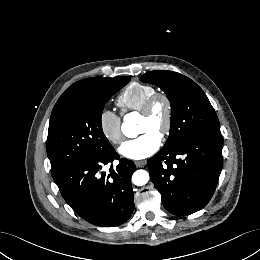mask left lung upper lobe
Instances as JSON below:
<instances>
[{"mask_svg":"<svg viewBox=\"0 0 260 260\" xmlns=\"http://www.w3.org/2000/svg\"><path fill=\"white\" fill-rule=\"evenodd\" d=\"M140 80L160 87L170 101V134L165 148L174 147L196 135L220 132V123L211 103L191 79L162 70L148 72Z\"/></svg>","mask_w":260,"mask_h":260,"instance_id":"1","label":"left lung upper lobe"}]
</instances>
